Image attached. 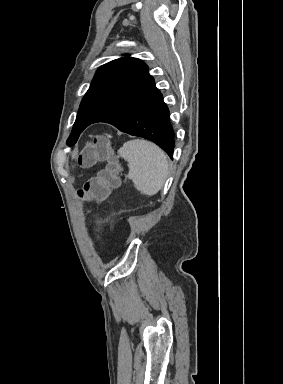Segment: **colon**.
Instances as JSON below:
<instances>
[{
	"label": "colon",
	"instance_id": "colon-1",
	"mask_svg": "<svg viewBox=\"0 0 283 384\" xmlns=\"http://www.w3.org/2000/svg\"><path fill=\"white\" fill-rule=\"evenodd\" d=\"M113 149L109 140L102 134L95 135L92 141L85 147L78 158L80 166H91L97 162L108 160L109 165L96 177L87 180L78 196L82 200H105L110 191L119 185V166L113 159Z\"/></svg>",
	"mask_w": 283,
	"mask_h": 384
}]
</instances>
